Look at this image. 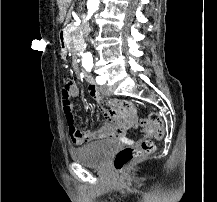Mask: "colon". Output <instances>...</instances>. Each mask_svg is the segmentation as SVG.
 Listing matches in <instances>:
<instances>
[{"label":"colon","instance_id":"1","mask_svg":"<svg viewBox=\"0 0 217 202\" xmlns=\"http://www.w3.org/2000/svg\"><path fill=\"white\" fill-rule=\"evenodd\" d=\"M56 96L61 97V105L68 130L75 131L74 118L71 111V85L69 83H64L61 86L60 91H56ZM148 117H152L151 122H148L146 118H139V123H142L144 126H151L152 123H154L157 129L155 137L163 138V128L165 127L164 121L160 120L159 114L156 112H152ZM154 149L155 145L152 140H145L138 147L126 146L122 148L113 158V165L117 170H119L118 176L126 177V168L134 161L152 154Z\"/></svg>","mask_w":217,"mask_h":202}]
</instances>
